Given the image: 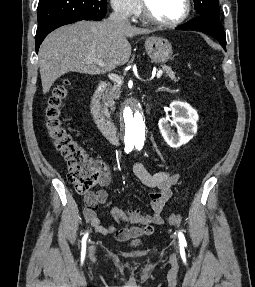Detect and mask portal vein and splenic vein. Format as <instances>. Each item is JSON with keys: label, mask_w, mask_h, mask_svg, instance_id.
Listing matches in <instances>:
<instances>
[{"label": "portal vein and splenic vein", "mask_w": 255, "mask_h": 287, "mask_svg": "<svg viewBox=\"0 0 255 287\" xmlns=\"http://www.w3.org/2000/svg\"><path fill=\"white\" fill-rule=\"evenodd\" d=\"M85 64H97V66H100V68H104L105 64L102 62V60H99V58H85L84 60ZM163 72L162 70H159L157 74H153L152 78L156 76V78H161ZM108 78L112 80V82H122V78H119V76H116V74H109ZM150 78V80H152ZM144 82H147V80H144Z\"/></svg>", "instance_id": "portal-vein-and-splenic-vein-1"}]
</instances>
